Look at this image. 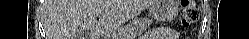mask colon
Masks as SVG:
<instances>
[{"label":"colon","instance_id":"colon-1","mask_svg":"<svg viewBox=\"0 0 249 39\" xmlns=\"http://www.w3.org/2000/svg\"><path fill=\"white\" fill-rule=\"evenodd\" d=\"M181 25L187 28L199 19V9L192 0H184L181 3Z\"/></svg>","mask_w":249,"mask_h":39}]
</instances>
